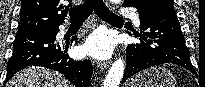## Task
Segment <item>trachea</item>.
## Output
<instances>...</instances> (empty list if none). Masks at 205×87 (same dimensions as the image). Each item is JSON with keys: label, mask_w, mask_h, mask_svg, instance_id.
Wrapping results in <instances>:
<instances>
[{"label": "trachea", "mask_w": 205, "mask_h": 87, "mask_svg": "<svg viewBox=\"0 0 205 87\" xmlns=\"http://www.w3.org/2000/svg\"><path fill=\"white\" fill-rule=\"evenodd\" d=\"M93 11L99 18L107 22L124 21L122 17L111 12L102 0H85L83 4L69 11L70 20L72 22H83Z\"/></svg>", "instance_id": "1"}]
</instances>
